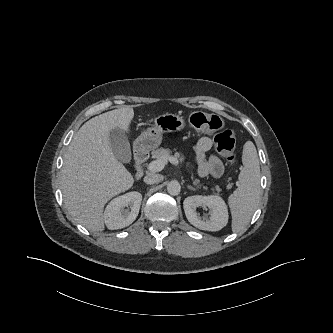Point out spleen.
<instances>
[{
  "label": "spleen",
  "mask_w": 333,
  "mask_h": 333,
  "mask_svg": "<svg viewBox=\"0 0 333 333\" xmlns=\"http://www.w3.org/2000/svg\"><path fill=\"white\" fill-rule=\"evenodd\" d=\"M242 162L239 186L228 198L233 232H240L248 225L258 207L261 194L259 159L251 141L244 144Z\"/></svg>",
  "instance_id": "spleen-1"
}]
</instances>
